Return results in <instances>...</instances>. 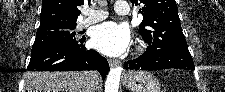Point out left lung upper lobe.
<instances>
[{
	"instance_id": "5c2ea615",
	"label": "left lung upper lobe",
	"mask_w": 225,
	"mask_h": 92,
	"mask_svg": "<svg viewBox=\"0 0 225 92\" xmlns=\"http://www.w3.org/2000/svg\"><path fill=\"white\" fill-rule=\"evenodd\" d=\"M142 4L143 21L139 28L143 40L155 48H188L181 29L175 0H131Z\"/></svg>"
}]
</instances>
